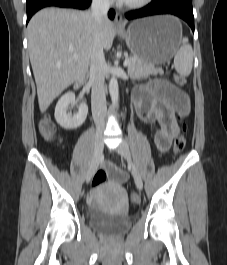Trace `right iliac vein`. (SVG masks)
<instances>
[{
	"label": "right iliac vein",
	"mask_w": 227,
	"mask_h": 265,
	"mask_svg": "<svg viewBox=\"0 0 227 265\" xmlns=\"http://www.w3.org/2000/svg\"><path fill=\"white\" fill-rule=\"evenodd\" d=\"M103 149H104V142H103V135L98 134L95 138V145H94V152L90 164V168L86 177V182L88 183L93 175L95 174L98 165L100 163L102 154H103Z\"/></svg>",
	"instance_id": "1"
}]
</instances>
